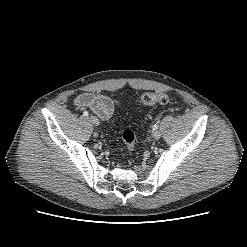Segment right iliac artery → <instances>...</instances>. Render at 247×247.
I'll list each match as a JSON object with an SVG mask.
<instances>
[{
    "instance_id": "82829eb1",
    "label": "right iliac artery",
    "mask_w": 247,
    "mask_h": 247,
    "mask_svg": "<svg viewBox=\"0 0 247 247\" xmlns=\"http://www.w3.org/2000/svg\"><path fill=\"white\" fill-rule=\"evenodd\" d=\"M83 115H84V116H88L89 113H88L87 111H84V112H83Z\"/></svg>"
}]
</instances>
